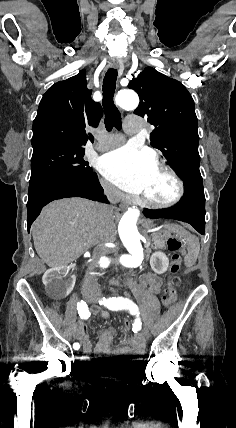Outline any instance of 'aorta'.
<instances>
[{"instance_id": "aorta-1", "label": "aorta", "mask_w": 236, "mask_h": 428, "mask_svg": "<svg viewBox=\"0 0 236 428\" xmlns=\"http://www.w3.org/2000/svg\"><path fill=\"white\" fill-rule=\"evenodd\" d=\"M116 103L123 109L134 110L139 104V97L133 90H121L116 95ZM139 216L140 211L137 208H129L118 225L120 239L128 251L127 254H123L118 258V262L127 268L139 267L144 259L145 250L141 244V235L137 229ZM110 263L111 260L109 258L103 257L98 265L101 268H107Z\"/></svg>"}]
</instances>
